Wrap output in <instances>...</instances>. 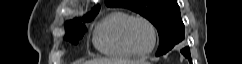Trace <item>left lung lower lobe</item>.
Masks as SVG:
<instances>
[{"instance_id": "left-lung-lower-lobe-1", "label": "left lung lower lobe", "mask_w": 242, "mask_h": 64, "mask_svg": "<svg viewBox=\"0 0 242 64\" xmlns=\"http://www.w3.org/2000/svg\"><path fill=\"white\" fill-rule=\"evenodd\" d=\"M181 53L189 60V62H192L189 47L183 48Z\"/></svg>"}]
</instances>
